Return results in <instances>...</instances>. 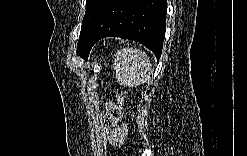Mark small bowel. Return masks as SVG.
I'll return each instance as SVG.
<instances>
[{"label":"small bowel","instance_id":"small-bowel-1","mask_svg":"<svg viewBox=\"0 0 247 156\" xmlns=\"http://www.w3.org/2000/svg\"><path fill=\"white\" fill-rule=\"evenodd\" d=\"M107 111L109 123L107 129L108 138L112 144H122L126 139L127 130L124 125L119 124L121 114L113 103L108 104Z\"/></svg>","mask_w":247,"mask_h":156}]
</instances>
